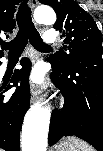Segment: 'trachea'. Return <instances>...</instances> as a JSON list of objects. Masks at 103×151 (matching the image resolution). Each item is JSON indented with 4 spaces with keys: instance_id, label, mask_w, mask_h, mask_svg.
<instances>
[{
    "instance_id": "3493384b",
    "label": "trachea",
    "mask_w": 103,
    "mask_h": 151,
    "mask_svg": "<svg viewBox=\"0 0 103 151\" xmlns=\"http://www.w3.org/2000/svg\"><path fill=\"white\" fill-rule=\"evenodd\" d=\"M17 23L19 26L17 36L2 46L3 49L9 50L10 55L21 54L28 41H30L35 49L41 52L50 48L42 41L39 32L36 30L31 18V9L28 7L26 0L20 5L17 14Z\"/></svg>"
}]
</instances>
